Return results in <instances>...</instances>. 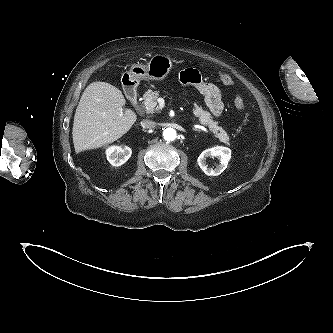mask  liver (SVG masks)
Returning <instances> with one entry per match:
<instances>
[{"label":"liver","instance_id":"obj_1","mask_svg":"<svg viewBox=\"0 0 333 333\" xmlns=\"http://www.w3.org/2000/svg\"><path fill=\"white\" fill-rule=\"evenodd\" d=\"M122 92L106 82H92L77 106L72 137L75 151L99 148L126 134L137 119L131 109H123Z\"/></svg>","mask_w":333,"mask_h":333}]
</instances>
